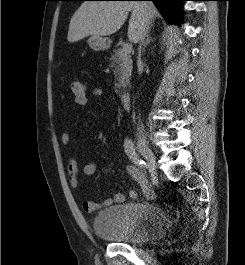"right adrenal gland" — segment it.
Listing matches in <instances>:
<instances>
[{
  "label": "right adrenal gland",
  "mask_w": 245,
  "mask_h": 265,
  "mask_svg": "<svg viewBox=\"0 0 245 265\" xmlns=\"http://www.w3.org/2000/svg\"><path fill=\"white\" fill-rule=\"evenodd\" d=\"M152 41V38L150 37V29L148 30L147 34H146V39L143 45V50H145V48L147 47V45Z\"/></svg>",
  "instance_id": "2a0ac1e0"
}]
</instances>
